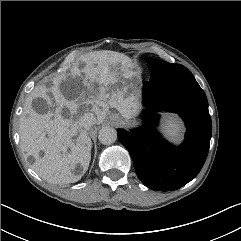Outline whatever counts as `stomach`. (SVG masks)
<instances>
[{"instance_id": "stomach-1", "label": "stomach", "mask_w": 241, "mask_h": 241, "mask_svg": "<svg viewBox=\"0 0 241 241\" xmlns=\"http://www.w3.org/2000/svg\"><path fill=\"white\" fill-rule=\"evenodd\" d=\"M118 68H119V67H118ZM124 88H125V86H124V81L121 80L120 77H118L117 82L111 86V89H110V91H109V94L112 95V94H114V93H117L118 91L123 90Z\"/></svg>"}]
</instances>
